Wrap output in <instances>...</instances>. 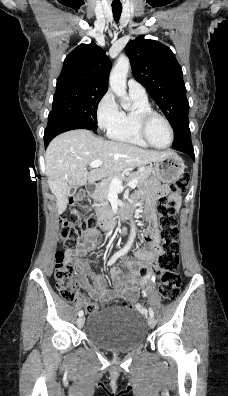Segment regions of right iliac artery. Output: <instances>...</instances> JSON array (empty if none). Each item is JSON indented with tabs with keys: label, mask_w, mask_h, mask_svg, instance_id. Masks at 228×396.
Listing matches in <instances>:
<instances>
[{
	"label": "right iliac artery",
	"mask_w": 228,
	"mask_h": 396,
	"mask_svg": "<svg viewBox=\"0 0 228 396\" xmlns=\"http://www.w3.org/2000/svg\"><path fill=\"white\" fill-rule=\"evenodd\" d=\"M121 255H123V252H122V251L116 252V253L110 258V260L108 261L107 265L110 266V265H112L113 263H115V261H116ZM78 315H79V316H82V315H83V311H82V310L79 311Z\"/></svg>",
	"instance_id": "right-iliac-artery-1"
}]
</instances>
